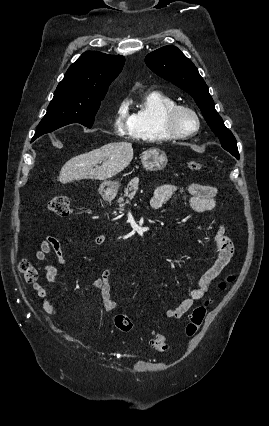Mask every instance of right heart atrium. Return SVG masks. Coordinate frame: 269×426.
Instances as JSON below:
<instances>
[{"label": "right heart atrium", "mask_w": 269, "mask_h": 426, "mask_svg": "<svg viewBox=\"0 0 269 426\" xmlns=\"http://www.w3.org/2000/svg\"><path fill=\"white\" fill-rule=\"evenodd\" d=\"M112 128L113 132L119 137H133V115L129 111V102L127 100H121L116 105L114 110Z\"/></svg>", "instance_id": "obj_1"}]
</instances>
